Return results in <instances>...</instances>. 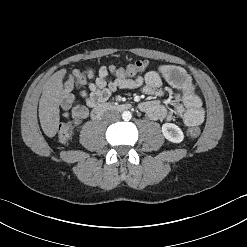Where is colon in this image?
<instances>
[{
  "mask_svg": "<svg viewBox=\"0 0 247 247\" xmlns=\"http://www.w3.org/2000/svg\"><path fill=\"white\" fill-rule=\"evenodd\" d=\"M147 62L144 60H138L133 63H129L125 67L111 68L112 73L116 77L133 78L145 72L147 69ZM92 70L87 69L85 71H74V81L76 84H83L86 79L92 77ZM200 128L192 126L187 130V136L191 139H195L200 135ZM58 139L62 143H68L72 135V124L70 122L61 123L58 127Z\"/></svg>",
  "mask_w": 247,
  "mask_h": 247,
  "instance_id": "colon-1",
  "label": "colon"
}]
</instances>
